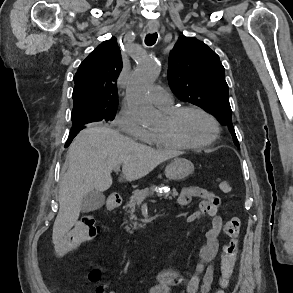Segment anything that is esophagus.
<instances>
[{"label": "esophagus", "instance_id": "esophagus-1", "mask_svg": "<svg viewBox=\"0 0 293 293\" xmlns=\"http://www.w3.org/2000/svg\"><path fill=\"white\" fill-rule=\"evenodd\" d=\"M148 30H149V32L153 33V32H155L157 30V27L154 26V25H151V26H149Z\"/></svg>", "mask_w": 293, "mask_h": 293}]
</instances>
